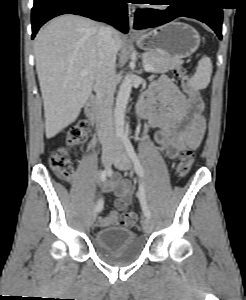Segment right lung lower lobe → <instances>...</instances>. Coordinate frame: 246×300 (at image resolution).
Instances as JSON below:
<instances>
[{
	"mask_svg": "<svg viewBox=\"0 0 246 300\" xmlns=\"http://www.w3.org/2000/svg\"><path fill=\"white\" fill-rule=\"evenodd\" d=\"M66 13L107 22L123 33L128 32L125 0H34L31 13L32 39L44 23Z\"/></svg>",
	"mask_w": 246,
	"mask_h": 300,
	"instance_id": "98d812e1",
	"label": "right lung lower lobe"
}]
</instances>
